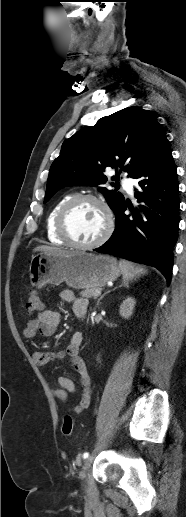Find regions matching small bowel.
Here are the masks:
<instances>
[{
	"label": "small bowel",
	"mask_w": 186,
	"mask_h": 517,
	"mask_svg": "<svg viewBox=\"0 0 186 517\" xmlns=\"http://www.w3.org/2000/svg\"><path fill=\"white\" fill-rule=\"evenodd\" d=\"M60 298L66 303L72 304L73 311L79 316L80 313H85L88 301L85 298H77L70 290H64L60 293ZM61 321L59 313L45 309L41 311L37 317L31 318L26 323L23 329V335L26 338H34L37 334L43 336H52L55 334ZM83 342V335L81 332H75L70 339L69 344L64 350L52 351H38L33 354V360L38 366H44L51 361L61 360L66 357L70 358L72 367L78 372L81 384V396L78 404L74 406L71 411L74 413H81L88 409L92 404V378L87 369L84 360L79 355V350ZM76 391L75 383L66 377H60L57 380V387L51 389L53 396L60 402L67 400L68 393Z\"/></svg>",
	"instance_id": "1"
}]
</instances>
